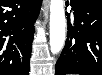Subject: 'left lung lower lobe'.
<instances>
[{
    "label": "left lung lower lobe",
    "mask_w": 102,
    "mask_h": 75,
    "mask_svg": "<svg viewBox=\"0 0 102 75\" xmlns=\"http://www.w3.org/2000/svg\"><path fill=\"white\" fill-rule=\"evenodd\" d=\"M74 26L68 14L65 47L55 75H102V1L71 0Z\"/></svg>",
    "instance_id": "1"
}]
</instances>
